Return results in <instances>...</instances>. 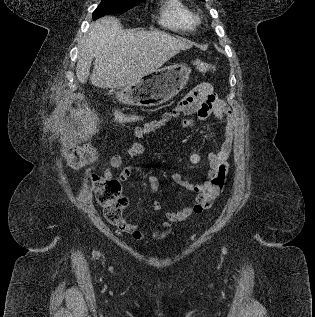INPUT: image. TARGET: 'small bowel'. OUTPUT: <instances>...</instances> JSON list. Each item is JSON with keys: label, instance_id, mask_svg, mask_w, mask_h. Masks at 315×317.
Returning a JSON list of instances; mask_svg holds the SVG:
<instances>
[{"label": "small bowel", "instance_id": "1", "mask_svg": "<svg viewBox=\"0 0 315 317\" xmlns=\"http://www.w3.org/2000/svg\"><path fill=\"white\" fill-rule=\"evenodd\" d=\"M210 115H214L219 120L224 121L225 127L224 140L219 151L210 153L207 156L209 170L206 180L203 183H192L179 174H174L172 177L178 186L196 193L195 203L181 210L167 212L161 228L151 233L144 232L136 224L128 223L124 220L119 226L121 231L131 235L135 240L150 239L152 241H161L170 234L172 225L175 222L199 215L213 206L215 199L222 192L228 172V158L232 151L236 123L231 109L216 95L210 83L198 85L171 111L164 112L157 120L134 127L133 133L137 138H143L147 135L157 133L173 119H179L181 125L186 127L193 125L196 121H204ZM189 116H195V118H187ZM144 151V145L138 142L126 146L120 154H115L111 157L109 166L104 170L103 176L110 179L115 178L119 181L127 180L132 175V168L129 166L124 167L116 177V171L123 166V155L136 157L142 155ZM189 160L193 165H200L204 157L200 153L194 152L190 155ZM147 189L151 194L159 193L160 185L156 176L148 177ZM152 206L155 211L162 209L161 203L158 200L153 201Z\"/></svg>", "mask_w": 315, "mask_h": 317}]
</instances>
